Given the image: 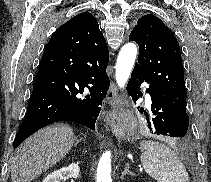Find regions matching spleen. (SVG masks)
Wrapping results in <instances>:
<instances>
[{"label": "spleen", "mask_w": 211, "mask_h": 182, "mask_svg": "<svg viewBox=\"0 0 211 182\" xmlns=\"http://www.w3.org/2000/svg\"><path fill=\"white\" fill-rule=\"evenodd\" d=\"M140 145L141 163L150 177L157 182H189L184 164L168 146L151 140Z\"/></svg>", "instance_id": "spleen-1"}]
</instances>
